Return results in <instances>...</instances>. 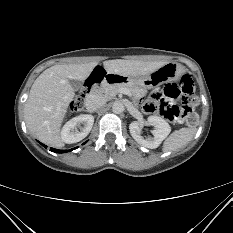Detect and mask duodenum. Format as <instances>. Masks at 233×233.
<instances>
[{"label":"duodenum","mask_w":233,"mask_h":233,"mask_svg":"<svg viewBox=\"0 0 233 233\" xmlns=\"http://www.w3.org/2000/svg\"><path fill=\"white\" fill-rule=\"evenodd\" d=\"M115 76L116 74L114 73L105 72L103 65H96L93 73L89 76L88 80L83 83V86L87 93H96L100 91V86H98V84H116L117 82L114 80Z\"/></svg>","instance_id":"410a0bca"}]
</instances>
